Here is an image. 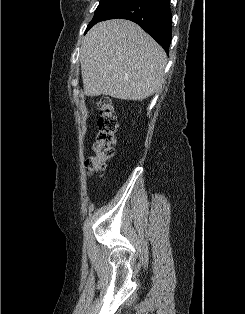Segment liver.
Segmentation results:
<instances>
[{
  "instance_id": "obj_1",
  "label": "liver",
  "mask_w": 245,
  "mask_h": 314,
  "mask_svg": "<svg viewBox=\"0 0 245 314\" xmlns=\"http://www.w3.org/2000/svg\"><path fill=\"white\" fill-rule=\"evenodd\" d=\"M80 63L87 96L141 101L162 89L167 55L139 25L113 19L86 34Z\"/></svg>"
}]
</instances>
